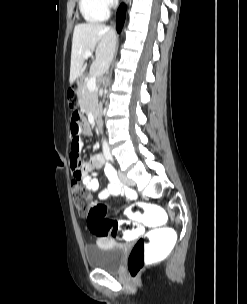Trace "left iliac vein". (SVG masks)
I'll return each mask as SVG.
<instances>
[{"label":"left iliac vein","mask_w":247,"mask_h":304,"mask_svg":"<svg viewBox=\"0 0 247 304\" xmlns=\"http://www.w3.org/2000/svg\"><path fill=\"white\" fill-rule=\"evenodd\" d=\"M118 176H119V179L121 180V182L125 185H128V186H134L135 185V182L133 179L127 177V175L123 172H118Z\"/></svg>","instance_id":"left-iliac-vein-1"}]
</instances>
